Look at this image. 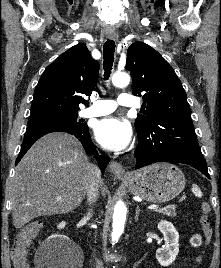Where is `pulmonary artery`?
<instances>
[{
  "label": "pulmonary artery",
  "instance_id": "e3ab8cb5",
  "mask_svg": "<svg viewBox=\"0 0 221 268\" xmlns=\"http://www.w3.org/2000/svg\"><path fill=\"white\" fill-rule=\"evenodd\" d=\"M117 105L126 107H135L137 102L135 98L129 94L122 93L118 96L117 101L114 100H96L89 107L84 109L80 116L82 117H98L112 113Z\"/></svg>",
  "mask_w": 221,
  "mask_h": 268
}]
</instances>
